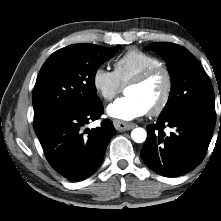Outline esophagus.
Masks as SVG:
<instances>
[{"instance_id": "1", "label": "esophagus", "mask_w": 221, "mask_h": 221, "mask_svg": "<svg viewBox=\"0 0 221 221\" xmlns=\"http://www.w3.org/2000/svg\"><path fill=\"white\" fill-rule=\"evenodd\" d=\"M114 126L118 131H127L133 129L136 125L133 123H127L120 120H114Z\"/></svg>"}]
</instances>
